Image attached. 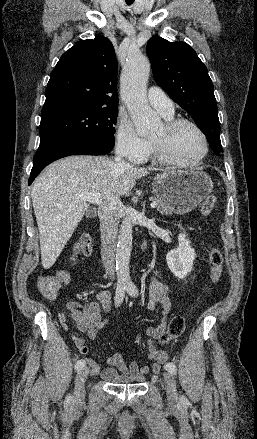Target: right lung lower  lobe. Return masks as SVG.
I'll return each instance as SVG.
<instances>
[{
	"label": "right lung lower lobe",
	"mask_w": 257,
	"mask_h": 439,
	"mask_svg": "<svg viewBox=\"0 0 257 439\" xmlns=\"http://www.w3.org/2000/svg\"><path fill=\"white\" fill-rule=\"evenodd\" d=\"M114 145L88 138L64 137L40 144L31 170L29 185L35 177L51 162L69 155H104Z\"/></svg>",
	"instance_id": "1"
}]
</instances>
